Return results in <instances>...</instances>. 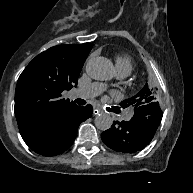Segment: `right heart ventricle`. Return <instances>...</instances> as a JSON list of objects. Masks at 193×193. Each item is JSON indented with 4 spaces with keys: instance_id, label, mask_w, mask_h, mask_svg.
<instances>
[{
    "instance_id": "right-heart-ventricle-1",
    "label": "right heart ventricle",
    "mask_w": 193,
    "mask_h": 193,
    "mask_svg": "<svg viewBox=\"0 0 193 193\" xmlns=\"http://www.w3.org/2000/svg\"><path fill=\"white\" fill-rule=\"evenodd\" d=\"M133 69V63L128 57L119 56L115 60V70L118 75L126 74L127 76Z\"/></svg>"
}]
</instances>
